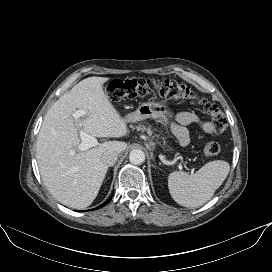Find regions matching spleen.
I'll return each mask as SVG.
<instances>
[{
	"mask_svg": "<svg viewBox=\"0 0 272 272\" xmlns=\"http://www.w3.org/2000/svg\"><path fill=\"white\" fill-rule=\"evenodd\" d=\"M229 171V163L222 160L208 162L194 174L175 171L168 177L169 192L181 206H201L212 198Z\"/></svg>",
	"mask_w": 272,
	"mask_h": 272,
	"instance_id": "1",
	"label": "spleen"
}]
</instances>
